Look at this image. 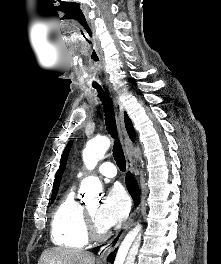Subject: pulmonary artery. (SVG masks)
<instances>
[{
  "instance_id": "1",
  "label": "pulmonary artery",
  "mask_w": 221,
  "mask_h": 264,
  "mask_svg": "<svg viewBox=\"0 0 221 264\" xmlns=\"http://www.w3.org/2000/svg\"><path fill=\"white\" fill-rule=\"evenodd\" d=\"M97 172L106 177V178H114L116 176V167L111 162H104L102 163L98 168ZM86 173L85 172H79L77 174V179L82 178Z\"/></svg>"
}]
</instances>
